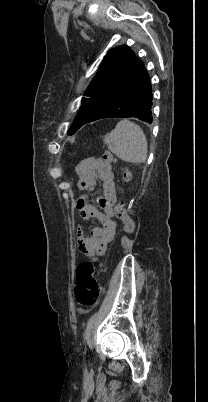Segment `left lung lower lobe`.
<instances>
[{
  "label": "left lung lower lobe",
  "mask_w": 208,
  "mask_h": 402,
  "mask_svg": "<svg viewBox=\"0 0 208 402\" xmlns=\"http://www.w3.org/2000/svg\"><path fill=\"white\" fill-rule=\"evenodd\" d=\"M152 104L151 83L149 75L143 67L121 97L107 108L98 119L134 117L150 124L153 121Z\"/></svg>",
  "instance_id": "0a47b994"
}]
</instances>
